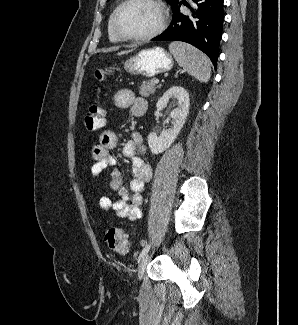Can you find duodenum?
<instances>
[{
  "label": "duodenum",
  "mask_w": 298,
  "mask_h": 325,
  "mask_svg": "<svg viewBox=\"0 0 298 325\" xmlns=\"http://www.w3.org/2000/svg\"><path fill=\"white\" fill-rule=\"evenodd\" d=\"M146 112V106L142 105L137 109V115L140 116Z\"/></svg>",
  "instance_id": "obj_1"
}]
</instances>
